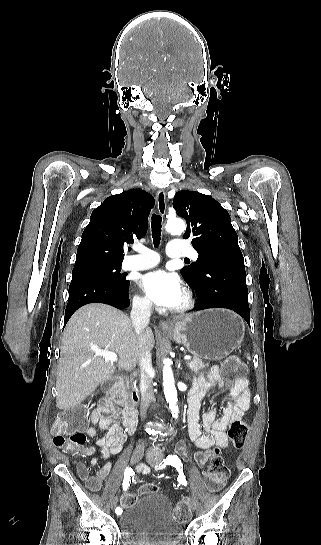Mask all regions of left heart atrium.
Returning a JSON list of instances; mask_svg holds the SVG:
<instances>
[{"label": "left heart atrium", "instance_id": "39dd6f15", "mask_svg": "<svg viewBox=\"0 0 321 545\" xmlns=\"http://www.w3.org/2000/svg\"><path fill=\"white\" fill-rule=\"evenodd\" d=\"M138 284L147 298L161 311L178 307L184 293V286L178 275L163 269L142 275Z\"/></svg>", "mask_w": 321, "mask_h": 545}]
</instances>
